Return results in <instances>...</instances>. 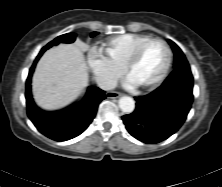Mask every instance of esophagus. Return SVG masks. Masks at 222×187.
I'll list each match as a JSON object with an SVG mask.
<instances>
[{
	"label": "esophagus",
	"instance_id": "obj_1",
	"mask_svg": "<svg viewBox=\"0 0 222 187\" xmlns=\"http://www.w3.org/2000/svg\"><path fill=\"white\" fill-rule=\"evenodd\" d=\"M121 96L118 92L109 91L106 93L107 98H119Z\"/></svg>",
	"mask_w": 222,
	"mask_h": 187
}]
</instances>
